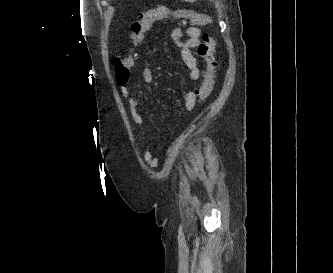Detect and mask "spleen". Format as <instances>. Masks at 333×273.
I'll use <instances>...</instances> for the list:
<instances>
[{
    "mask_svg": "<svg viewBox=\"0 0 333 273\" xmlns=\"http://www.w3.org/2000/svg\"><path fill=\"white\" fill-rule=\"evenodd\" d=\"M184 1H186V2H188V1H189V2H194L195 0H184Z\"/></svg>",
    "mask_w": 333,
    "mask_h": 273,
    "instance_id": "3e777b00",
    "label": "spleen"
}]
</instances>
